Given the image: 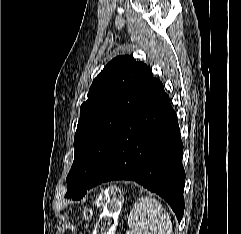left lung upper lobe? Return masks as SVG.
I'll return each mask as SVG.
<instances>
[{"label":"left lung upper lobe","instance_id":"5c2ea615","mask_svg":"<svg viewBox=\"0 0 241 234\" xmlns=\"http://www.w3.org/2000/svg\"><path fill=\"white\" fill-rule=\"evenodd\" d=\"M153 79L147 65L128 55L111 60L94 79L80 108L67 198L80 200L86 194L121 125Z\"/></svg>","mask_w":241,"mask_h":234}]
</instances>
